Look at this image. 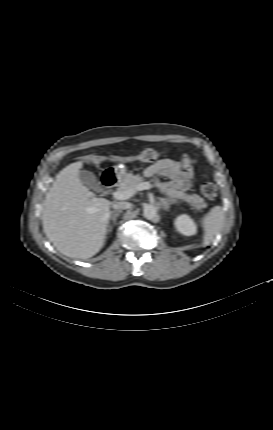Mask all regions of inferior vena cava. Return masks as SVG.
Segmentation results:
<instances>
[{"label": "inferior vena cava", "mask_w": 273, "mask_h": 430, "mask_svg": "<svg viewBox=\"0 0 273 430\" xmlns=\"http://www.w3.org/2000/svg\"><path fill=\"white\" fill-rule=\"evenodd\" d=\"M132 204L129 202H124V201H120V202H116L113 204V208L116 210H125V209H129L131 208Z\"/></svg>", "instance_id": "1"}]
</instances>
